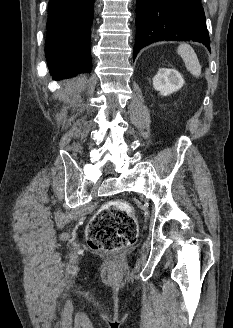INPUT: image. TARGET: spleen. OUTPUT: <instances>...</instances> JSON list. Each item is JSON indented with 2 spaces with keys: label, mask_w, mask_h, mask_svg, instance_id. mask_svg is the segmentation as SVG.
Returning a JSON list of instances; mask_svg holds the SVG:
<instances>
[{
  "label": "spleen",
  "mask_w": 233,
  "mask_h": 328,
  "mask_svg": "<svg viewBox=\"0 0 233 328\" xmlns=\"http://www.w3.org/2000/svg\"><path fill=\"white\" fill-rule=\"evenodd\" d=\"M178 55L183 59L187 70L194 76L200 77L201 66L194 49L187 43H182L177 48Z\"/></svg>",
  "instance_id": "obj_1"
}]
</instances>
